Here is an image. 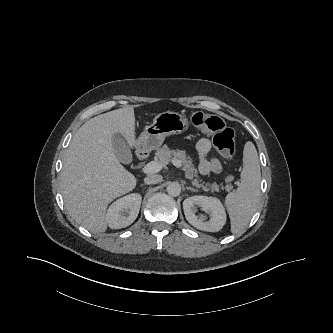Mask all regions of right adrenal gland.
I'll use <instances>...</instances> for the list:
<instances>
[{
  "label": "right adrenal gland",
  "mask_w": 333,
  "mask_h": 333,
  "mask_svg": "<svg viewBox=\"0 0 333 333\" xmlns=\"http://www.w3.org/2000/svg\"><path fill=\"white\" fill-rule=\"evenodd\" d=\"M140 186H145V184H141Z\"/></svg>",
  "instance_id": "2a0ac1e0"
}]
</instances>
